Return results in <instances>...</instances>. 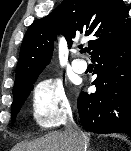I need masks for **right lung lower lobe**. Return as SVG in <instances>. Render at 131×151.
Returning <instances> with one entry per match:
<instances>
[{
	"instance_id": "obj_1",
	"label": "right lung lower lobe",
	"mask_w": 131,
	"mask_h": 151,
	"mask_svg": "<svg viewBox=\"0 0 131 151\" xmlns=\"http://www.w3.org/2000/svg\"><path fill=\"white\" fill-rule=\"evenodd\" d=\"M96 92L81 93L78 113L86 130L131 137V31L91 54Z\"/></svg>"
}]
</instances>
